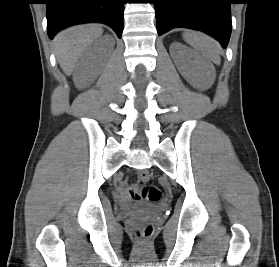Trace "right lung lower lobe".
Masks as SVG:
<instances>
[{"label":"right lung lower lobe","instance_id":"right-lung-lower-lobe-1","mask_svg":"<svg viewBox=\"0 0 279 267\" xmlns=\"http://www.w3.org/2000/svg\"><path fill=\"white\" fill-rule=\"evenodd\" d=\"M50 39L60 30L80 23H104L121 38L125 0H45Z\"/></svg>","mask_w":279,"mask_h":267}]
</instances>
